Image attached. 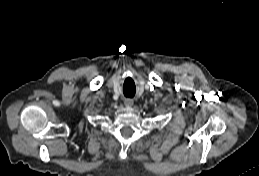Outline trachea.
<instances>
[{
    "instance_id": "trachea-1",
    "label": "trachea",
    "mask_w": 259,
    "mask_h": 176,
    "mask_svg": "<svg viewBox=\"0 0 259 176\" xmlns=\"http://www.w3.org/2000/svg\"><path fill=\"white\" fill-rule=\"evenodd\" d=\"M127 97H133L134 93H126L125 94Z\"/></svg>"
}]
</instances>
